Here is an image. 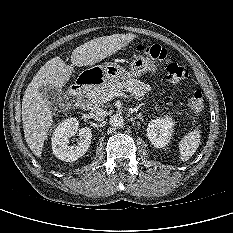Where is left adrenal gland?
<instances>
[{"label":"left adrenal gland","instance_id":"a2214340","mask_svg":"<svg viewBox=\"0 0 233 233\" xmlns=\"http://www.w3.org/2000/svg\"><path fill=\"white\" fill-rule=\"evenodd\" d=\"M143 105H144V104L141 103V104H139L137 107H135V108H130L129 110H130L131 113L137 112V111L139 110V108H140L141 106H143Z\"/></svg>","mask_w":233,"mask_h":233}]
</instances>
